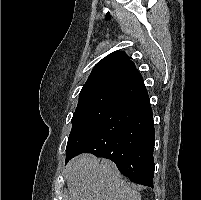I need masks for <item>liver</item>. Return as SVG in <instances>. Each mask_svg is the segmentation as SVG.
<instances>
[{
  "label": "liver",
  "mask_w": 201,
  "mask_h": 200,
  "mask_svg": "<svg viewBox=\"0 0 201 200\" xmlns=\"http://www.w3.org/2000/svg\"><path fill=\"white\" fill-rule=\"evenodd\" d=\"M68 200H141V195L120 178L105 159L82 154L68 165Z\"/></svg>",
  "instance_id": "6515ba94"
}]
</instances>
